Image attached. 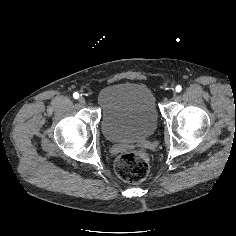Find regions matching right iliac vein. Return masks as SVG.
Here are the masks:
<instances>
[{
  "label": "right iliac vein",
  "instance_id": "obj_1",
  "mask_svg": "<svg viewBox=\"0 0 236 236\" xmlns=\"http://www.w3.org/2000/svg\"><path fill=\"white\" fill-rule=\"evenodd\" d=\"M79 103L84 105L85 104V98L83 96H81L79 99H78Z\"/></svg>",
  "mask_w": 236,
  "mask_h": 236
}]
</instances>
